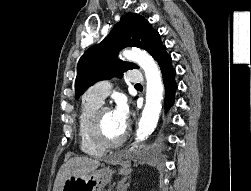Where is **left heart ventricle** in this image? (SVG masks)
Here are the masks:
<instances>
[{
  "label": "left heart ventricle",
  "mask_w": 251,
  "mask_h": 191,
  "mask_svg": "<svg viewBox=\"0 0 251 191\" xmlns=\"http://www.w3.org/2000/svg\"><path fill=\"white\" fill-rule=\"evenodd\" d=\"M102 127L105 136L114 140L121 136L123 131L116 125L110 111H106L102 115Z\"/></svg>",
  "instance_id": "1"
}]
</instances>
